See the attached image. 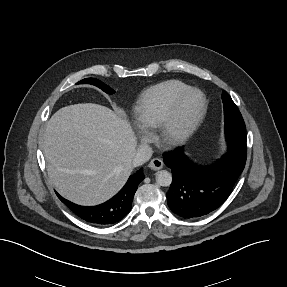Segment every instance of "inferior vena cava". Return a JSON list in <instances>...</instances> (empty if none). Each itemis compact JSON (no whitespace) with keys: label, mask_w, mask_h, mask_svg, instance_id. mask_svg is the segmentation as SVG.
Listing matches in <instances>:
<instances>
[{"label":"inferior vena cava","mask_w":287,"mask_h":287,"mask_svg":"<svg viewBox=\"0 0 287 287\" xmlns=\"http://www.w3.org/2000/svg\"><path fill=\"white\" fill-rule=\"evenodd\" d=\"M152 156V148L149 145H140L132 159V165L134 167L139 166L147 162Z\"/></svg>","instance_id":"602c4592"}]
</instances>
